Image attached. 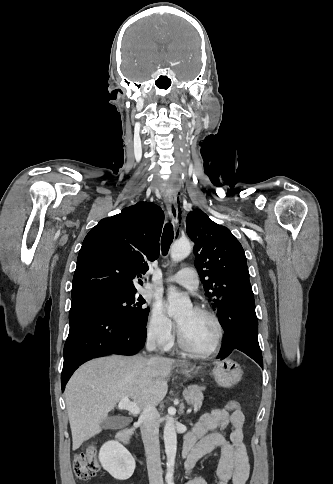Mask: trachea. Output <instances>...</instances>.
Instances as JSON below:
<instances>
[{"label": "trachea", "instance_id": "obj_1", "mask_svg": "<svg viewBox=\"0 0 333 484\" xmlns=\"http://www.w3.org/2000/svg\"><path fill=\"white\" fill-rule=\"evenodd\" d=\"M177 235H178V233H177ZM173 239H174L173 225L169 221L168 223L165 224V227L163 229L162 238H161V251H162L163 255H167Z\"/></svg>", "mask_w": 333, "mask_h": 484}]
</instances>
